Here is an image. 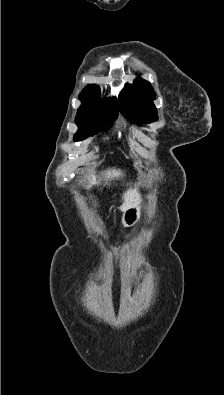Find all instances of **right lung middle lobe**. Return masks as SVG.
<instances>
[{"label":"right lung middle lobe","instance_id":"obj_1","mask_svg":"<svg viewBox=\"0 0 224 395\" xmlns=\"http://www.w3.org/2000/svg\"><path fill=\"white\" fill-rule=\"evenodd\" d=\"M117 116L118 111L116 110L94 108L82 102L75 119L79 127L78 132L75 134V140L85 139L93 133H98L100 130L106 131Z\"/></svg>","mask_w":224,"mask_h":395}]
</instances>
